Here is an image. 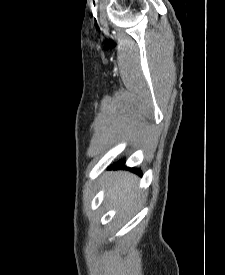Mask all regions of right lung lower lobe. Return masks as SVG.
Returning a JSON list of instances; mask_svg holds the SVG:
<instances>
[{"label": "right lung lower lobe", "mask_w": 225, "mask_h": 275, "mask_svg": "<svg viewBox=\"0 0 225 275\" xmlns=\"http://www.w3.org/2000/svg\"><path fill=\"white\" fill-rule=\"evenodd\" d=\"M122 166H124V161H120V162H118V163H116L115 165H114V167H122ZM137 172H140V170L139 169H137L136 170Z\"/></svg>", "instance_id": "right-lung-lower-lobe-1"}]
</instances>
